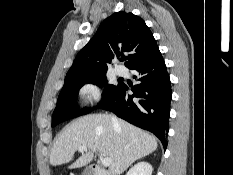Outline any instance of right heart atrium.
Here are the masks:
<instances>
[{
    "label": "right heart atrium",
    "mask_w": 233,
    "mask_h": 175,
    "mask_svg": "<svg viewBox=\"0 0 233 175\" xmlns=\"http://www.w3.org/2000/svg\"><path fill=\"white\" fill-rule=\"evenodd\" d=\"M79 94L84 101L97 103L101 99L102 91L98 84L87 82L80 86Z\"/></svg>",
    "instance_id": "obj_1"
}]
</instances>
